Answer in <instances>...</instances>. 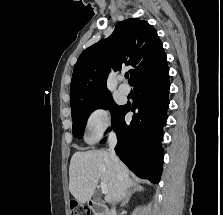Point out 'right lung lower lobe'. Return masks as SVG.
Returning <instances> with one entry per match:
<instances>
[{"instance_id":"obj_1","label":"right lung lower lobe","mask_w":223,"mask_h":215,"mask_svg":"<svg viewBox=\"0 0 223 215\" xmlns=\"http://www.w3.org/2000/svg\"><path fill=\"white\" fill-rule=\"evenodd\" d=\"M136 99L124 105V110L114 127L118 144L115 148L119 158L140 178L158 183L163 165L162 127L167 120L169 105V71L145 78L134 85ZM137 112L130 123L125 114ZM105 139L101 141L104 143Z\"/></svg>"}]
</instances>
